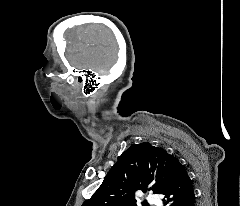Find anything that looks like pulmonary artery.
<instances>
[{
  "mask_svg": "<svg viewBox=\"0 0 240 206\" xmlns=\"http://www.w3.org/2000/svg\"><path fill=\"white\" fill-rule=\"evenodd\" d=\"M147 201L150 203V204H157L159 202V199L156 195H148L147 196Z\"/></svg>",
  "mask_w": 240,
  "mask_h": 206,
  "instance_id": "e3ab8cb5",
  "label": "pulmonary artery"
}]
</instances>
